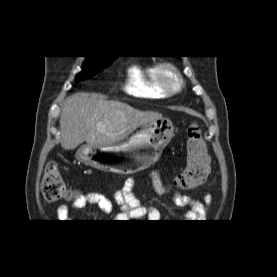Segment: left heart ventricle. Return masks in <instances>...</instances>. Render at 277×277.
Masks as SVG:
<instances>
[{"label": "left heart ventricle", "mask_w": 277, "mask_h": 277, "mask_svg": "<svg viewBox=\"0 0 277 277\" xmlns=\"http://www.w3.org/2000/svg\"><path fill=\"white\" fill-rule=\"evenodd\" d=\"M167 79H168L171 86L176 85V80H175L174 76L171 73H167Z\"/></svg>", "instance_id": "left-heart-ventricle-1"}]
</instances>
